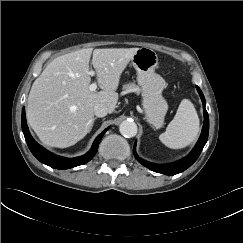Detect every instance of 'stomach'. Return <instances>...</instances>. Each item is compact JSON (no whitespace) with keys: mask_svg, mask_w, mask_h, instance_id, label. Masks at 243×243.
<instances>
[{"mask_svg":"<svg viewBox=\"0 0 243 243\" xmlns=\"http://www.w3.org/2000/svg\"><path fill=\"white\" fill-rule=\"evenodd\" d=\"M131 62L137 72L146 120L154 128H161L168 105L162 96L165 80L155 72L158 56L154 50L144 47L138 49Z\"/></svg>","mask_w":243,"mask_h":243,"instance_id":"stomach-1","label":"stomach"}]
</instances>
